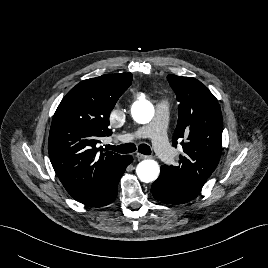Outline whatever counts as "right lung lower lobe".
Returning a JSON list of instances; mask_svg holds the SVG:
<instances>
[{"label": "right lung lower lobe", "instance_id": "98d812e1", "mask_svg": "<svg viewBox=\"0 0 268 268\" xmlns=\"http://www.w3.org/2000/svg\"><path fill=\"white\" fill-rule=\"evenodd\" d=\"M132 156L125 155L122 160L116 165L102 186L98 195L86 205L90 207H101L112 203L117 197V187L121 176L126 167L132 162Z\"/></svg>", "mask_w": 268, "mask_h": 268}]
</instances>
